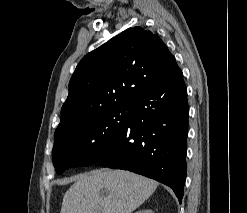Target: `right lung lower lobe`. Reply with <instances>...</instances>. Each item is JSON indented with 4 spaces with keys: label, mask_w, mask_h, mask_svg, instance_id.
<instances>
[{
    "label": "right lung lower lobe",
    "mask_w": 247,
    "mask_h": 213,
    "mask_svg": "<svg viewBox=\"0 0 247 213\" xmlns=\"http://www.w3.org/2000/svg\"><path fill=\"white\" fill-rule=\"evenodd\" d=\"M127 123L96 163L129 170L171 187L181 203L186 179L189 107L180 69L129 101Z\"/></svg>",
    "instance_id": "98d812e1"
}]
</instances>
